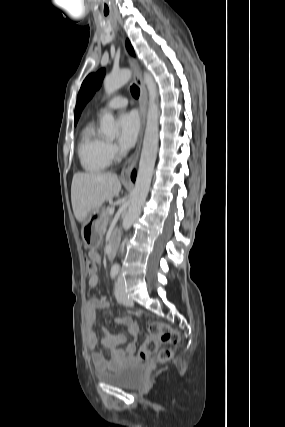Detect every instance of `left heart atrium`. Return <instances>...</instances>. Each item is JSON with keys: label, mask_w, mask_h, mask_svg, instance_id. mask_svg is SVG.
<instances>
[{"label": "left heart atrium", "mask_w": 285, "mask_h": 427, "mask_svg": "<svg viewBox=\"0 0 285 427\" xmlns=\"http://www.w3.org/2000/svg\"><path fill=\"white\" fill-rule=\"evenodd\" d=\"M119 144L123 148H130L134 145L140 129L138 116L134 112L123 113L119 119Z\"/></svg>", "instance_id": "left-heart-atrium-1"}]
</instances>
